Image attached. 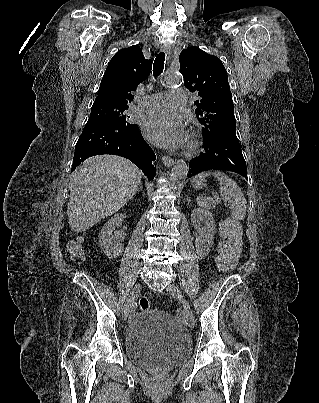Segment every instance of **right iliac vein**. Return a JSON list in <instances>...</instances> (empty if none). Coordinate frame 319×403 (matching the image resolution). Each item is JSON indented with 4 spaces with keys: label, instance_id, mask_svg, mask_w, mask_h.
Listing matches in <instances>:
<instances>
[{
    "label": "right iliac vein",
    "instance_id": "right-iliac-vein-1",
    "mask_svg": "<svg viewBox=\"0 0 319 403\" xmlns=\"http://www.w3.org/2000/svg\"><path fill=\"white\" fill-rule=\"evenodd\" d=\"M141 288H142L141 284H136L135 287L132 289L131 293L129 294V296L124 304V307H123L122 315H123L124 320H126L128 318V316L132 310V307L140 294Z\"/></svg>",
    "mask_w": 319,
    "mask_h": 403
}]
</instances>
